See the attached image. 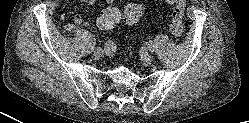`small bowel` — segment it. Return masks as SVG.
<instances>
[{
  "mask_svg": "<svg viewBox=\"0 0 249 123\" xmlns=\"http://www.w3.org/2000/svg\"><path fill=\"white\" fill-rule=\"evenodd\" d=\"M82 2L88 4V5H95L98 0H81ZM115 0H104L105 3L108 5L112 4ZM168 4H171L169 0H165ZM61 19L64 21V14H61ZM91 23L86 21L82 16L76 14L73 17L72 22L66 23L65 28L68 31H71L74 29L75 26H90Z\"/></svg>",
  "mask_w": 249,
  "mask_h": 123,
  "instance_id": "obj_1",
  "label": "small bowel"
}]
</instances>
